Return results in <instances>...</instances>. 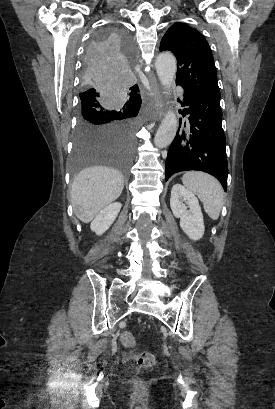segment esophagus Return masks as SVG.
<instances>
[{
    "label": "esophagus",
    "instance_id": "1",
    "mask_svg": "<svg viewBox=\"0 0 275 409\" xmlns=\"http://www.w3.org/2000/svg\"><path fill=\"white\" fill-rule=\"evenodd\" d=\"M149 82L152 89V98L154 102L155 116L160 118L164 113V106L162 100V90L155 77L149 76Z\"/></svg>",
    "mask_w": 275,
    "mask_h": 409
}]
</instances>
